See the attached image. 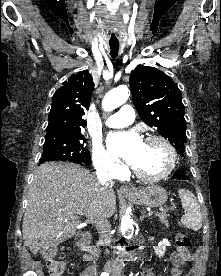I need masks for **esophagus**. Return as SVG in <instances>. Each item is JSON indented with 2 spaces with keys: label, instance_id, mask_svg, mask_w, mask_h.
Returning <instances> with one entry per match:
<instances>
[{
  "label": "esophagus",
  "instance_id": "1",
  "mask_svg": "<svg viewBox=\"0 0 221 276\" xmlns=\"http://www.w3.org/2000/svg\"><path fill=\"white\" fill-rule=\"evenodd\" d=\"M120 191L122 192V193H126V194H130V193H134L135 192V189L134 188H131V187H129V186H127V185H122L121 187H120Z\"/></svg>",
  "mask_w": 221,
  "mask_h": 276
}]
</instances>
